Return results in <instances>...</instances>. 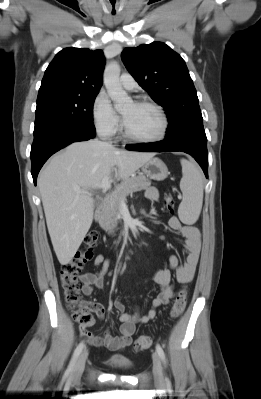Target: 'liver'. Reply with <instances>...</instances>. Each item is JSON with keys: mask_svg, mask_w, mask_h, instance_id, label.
I'll return each instance as SVG.
<instances>
[{"mask_svg": "<svg viewBox=\"0 0 261 399\" xmlns=\"http://www.w3.org/2000/svg\"><path fill=\"white\" fill-rule=\"evenodd\" d=\"M154 155L89 140L72 143L51 158L39 174L38 187L60 264L66 265L72 260L91 227L94 199L89 189L104 177H111L113 172L117 179H128Z\"/></svg>", "mask_w": 261, "mask_h": 399, "instance_id": "liver-1", "label": "liver"}]
</instances>
